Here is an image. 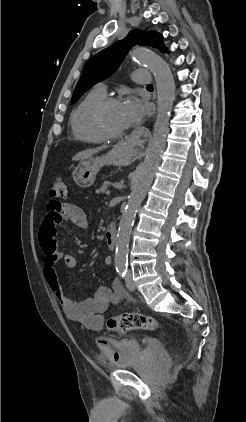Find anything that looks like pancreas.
<instances>
[{
	"label": "pancreas",
	"mask_w": 246,
	"mask_h": 422,
	"mask_svg": "<svg viewBox=\"0 0 246 422\" xmlns=\"http://www.w3.org/2000/svg\"><path fill=\"white\" fill-rule=\"evenodd\" d=\"M107 186H108V183L105 181V182L102 184L101 188L98 190V192H99V193H105V192H106V190H107Z\"/></svg>",
	"instance_id": "obj_1"
}]
</instances>
